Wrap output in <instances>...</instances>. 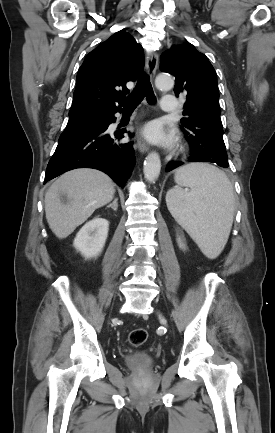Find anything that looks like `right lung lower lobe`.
I'll list each match as a JSON object with an SVG mask.
<instances>
[{"label":"right lung lower lobe","mask_w":275,"mask_h":433,"mask_svg":"<svg viewBox=\"0 0 275 433\" xmlns=\"http://www.w3.org/2000/svg\"><path fill=\"white\" fill-rule=\"evenodd\" d=\"M114 113H96L85 122L66 127L47 165L45 181L85 167L107 173L124 188L135 164V151L132 142L116 143L124 137L126 130L106 133L108 126L116 120Z\"/></svg>","instance_id":"98d812e1"}]
</instances>
